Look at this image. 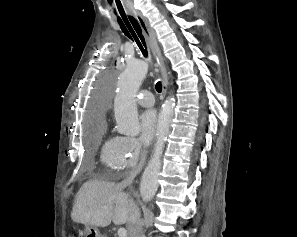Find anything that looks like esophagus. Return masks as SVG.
<instances>
[{
	"mask_svg": "<svg viewBox=\"0 0 297 237\" xmlns=\"http://www.w3.org/2000/svg\"><path fill=\"white\" fill-rule=\"evenodd\" d=\"M136 20L138 21L139 25L142 28V31L146 37V40L148 42V45L156 58L157 65L160 69L161 75H162V93L165 96L168 88V75L167 71L163 62V58L161 55V51L158 47L157 40H156V35L154 30L151 28L148 20L140 13H135L134 14Z\"/></svg>",
	"mask_w": 297,
	"mask_h": 237,
	"instance_id": "esophagus-1",
	"label": "esophagus"
}]
</instances>
